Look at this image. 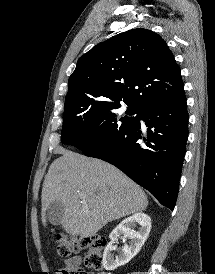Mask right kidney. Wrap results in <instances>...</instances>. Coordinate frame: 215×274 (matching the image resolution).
Wrapping results in <instances>:
<instances>
[{"label": "right kidney", "instance_id": "obj_1", "mask_svg": "<svg viewBox=\"0 0 215 274\" xmlns=\"http://www.w3.org/2000/svg\"><path fill=\"white\" fill-rule=\"evenodd\" d=\"M139 225L138 231L134 228ZM151 229V219L144 213H135L124 219L110 234V242L103 253V266L108 271H113L120 266L127 264L142 248ZM120 235L130 239L129 245L125 244L118 255L114 257L112 251L114 244Z\"/></svg>", "mask_w": 215, "mask_h": 274}]
</instances>
